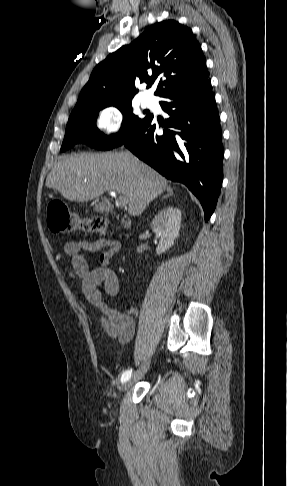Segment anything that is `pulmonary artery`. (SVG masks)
I'll return each mask as SVG.
<instances>
[{
  "label": "pulmonary artery",
  "instance_id": "1",
  "mask_svg": "<svg viewBox=\"0 0 287 486\" xmlns=\"http://www.w3.org/2000/svg\"><path fill=\"white\" fill-rule=\"evenodd\" d=\"M143 103H144L146 106H151V105H153L154 100H153V98H152V97H150V96H149V97H146V98L144 99Z\"/></svg>",
  "mask_w": 287,
  "mask_h": 486
}]
</instances>
